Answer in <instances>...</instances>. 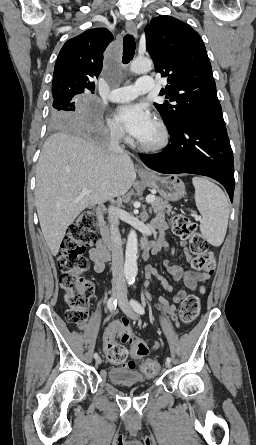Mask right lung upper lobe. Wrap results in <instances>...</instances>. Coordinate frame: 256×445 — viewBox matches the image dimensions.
<instances>
[{
	"instance_id": "right-lung-upper-lobe-1",
	"label": "right lung upper lobe",
	"mask_w": 256,
	"mask_h": 445,
	"mask_svg": "<svg viewBox=\"0 0 256 445\" xmlns=\"http://www.w3.org/2000/svg\"><path fill=\"white\" fill-rule=\"evenodd\" d=\"M112 40V33L105 28L89 29L69 39L55 63L52 94L94 93V79L102 70L103 51Z\"/></svg>"
}]
</instances>
